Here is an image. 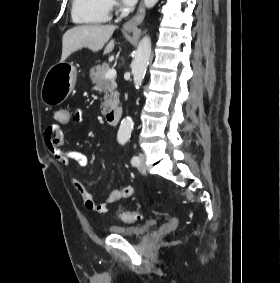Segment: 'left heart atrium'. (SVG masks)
Returning a JSON list of instances; mask_svg holds the SVG:
<instances>
[{"label":"left heart atrium","instance_id":"1","mask_svg":"<svg viewBox=\"0 0 280 283\" xmlns=\"http://www.w3.org/2000/svg\"><path fill=\"white\" fill-rule=\"evenodd\" d=\"M122 1L124 4L129 5V6H132L137 2V0H122Z\"/></svg>","mask_w":280,"mask_h":283}]
</instances>
